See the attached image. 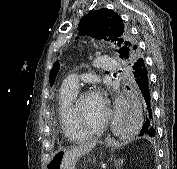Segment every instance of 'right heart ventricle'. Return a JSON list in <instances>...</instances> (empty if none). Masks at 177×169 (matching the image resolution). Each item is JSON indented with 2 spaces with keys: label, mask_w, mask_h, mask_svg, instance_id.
I'll return each mask as SVG.
<instances>
[{
  "label": "right heart ventricle",
  "mask_w": 177,
  "mask_h": 169,
  "mask_svg": "<svg viewBox=\"0 0 177 169\" xmlns=\"http://www.w3.org/2000/svg\"><path fill=\"white\" fill-rule=\"evenodd\" d=\"M78 94V91L66 90L61 87L58 97V119L62 134L69 141H80L86 138L76 130L73 115L72 105Z\"/></svg>",
  "instance_id": "1"
}]
</instances>
